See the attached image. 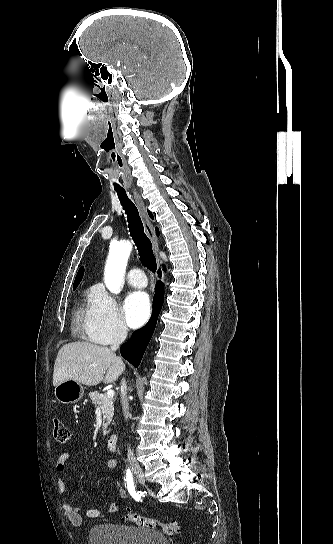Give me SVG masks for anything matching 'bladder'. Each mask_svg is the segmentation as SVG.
I'll use <instances>...</instances> for the list:
<instances>
[{
    "label": "bladder",
    "mask_w": 333,
    "mask_h": 544,
    "mask_svg": "<svg viewBox=\"0 0 333 544\" xmlns=\"http://www.w3.org/2000/svg\"><path fill=\"white\" fill-rule=\"evenodd\" d=\"M88 539L90 544H169L160 531L114 523L94 526Z\"/></svg>",
    "instance_id": "obj_1"
}]
</instances>
